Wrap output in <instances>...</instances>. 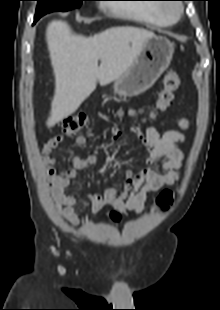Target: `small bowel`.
I'll return each mask as SVG.
<instances>
[{
  "label": "small bowel",
  "mask_w": 220,
  "mask_h": 310,
  "mask_svg": "<svg viewBox=\"0 0 220 310\" xmlns=\"http://www.w3.org/2000/svg\"><path fill=\"white\" fill-rule=\"evenodd\" d=\"M177 123L181 129H187L189 125L185 118H180ZM132 131L142 140L148 150L147 167L138 173L125 169L122 181L107 189L102 195L83 192V196L90 202L94 213L106 206H112L121 212L138 214L143 210L149 194L164 186L173 185L181 176L184 159L180 148L184 140L182 132L169 130L160 134L155 126L147 128L145 133L138 127H133ZM110 134L111 141L115 142L122 136V130L118 126H112ZM63 140L64 136L60 134L49 139L41 149L40 160L47 176L55 186L54 197L60 215L70 224L77 226L80 220L74 209L76 198L67 194L66 191L77 185L79 172L94 165L98 158L96 156H75L71 167L57 172L55 169L57 161L53 153ZM75 142L78 146H85L87 137L78 135Z\"/></svg>",
  "instance_id": "small-bowel-1"
}]
</instances>
